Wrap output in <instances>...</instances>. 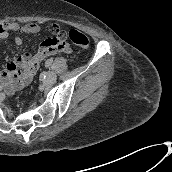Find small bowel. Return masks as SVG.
<instances>
[{
    "label": "small bowel",
    "mask_w": 172,
    "mask_h": 172,
    "mask_svg": "<svg viewBox=\"0 0 172 172\" xmlns=\"http://www.w3.org/2000/svg\"><path fill=\"white\" fill-rule=\"evenodd\" d=\"M52 28L58 27L54 25ZM10 31H18L26 34L36 33L39 31V26L33 23L24 26H20L19 24L0 25V41L5 40ZM14 42L17 45H21L23 42L22 36L20 34L15 35ZM68 50L69 48L65 43H54L53 38L44 40L39 45L36 54H25L20 58V61L15 64L16 70L13 72L14 88L22 89L27 86L38 70L40 62L45 59V57L60 52H67Z\"/></svg>",
    "instance_id": "obj_1"
}]
</instances>
